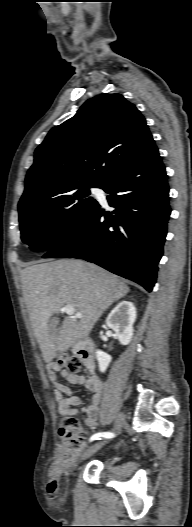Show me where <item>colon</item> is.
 <instances>
[{
    "label": "colon",
    "mask_w": 192,
    "mask_h": 527,
    "mask_svg": "<svg viewBox=\"0 0 192 527\" xmlns=\"http://www.w3.org/2000/svg\"><path fill=\"white\" fill-rule=\"evenodd\" d=\"M58 364L66 372L82 376V361L80 358L64 354L59 357ZM87 434V431L76 418L67 415L59 429L64 451L71 456L80 455L85 448Z\"/></svg>",
    "instance_id": "colon-1"
}]
</instances>
